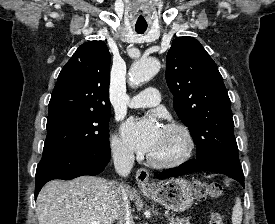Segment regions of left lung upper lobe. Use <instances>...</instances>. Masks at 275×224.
Listing matches in <instances>:
<instances>
[{
  "label": "left lung upper lobe",
  "instance_id": "obj_1",
  "mask_svg": "<svg viewBox=\"0 0 275 224\" xmlns=\"http://www.w3.org/2000/svg\"><path fill=\"white\" fill-rule=\"evenodd\" d=\"M174 109L189 128L197 160L239 162L230 99L217 65L198 40L177 37L167 54Z\"/></svg>",
  "mask_w": 275,
  "mask_h": 224
}]
</instances>
